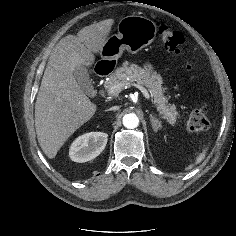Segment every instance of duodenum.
Here are the masks:
<instances>
[{
	"label": "duodenum",
	"instance_id": "1",
	"mask_svg": "<svg viewBox=\"0 0 236 236\" xmlns=\"http://www.w3.org/2000/svg\"><path fill=\"white\" fill-rule=\"evenodd\" d=\"M111 71V67L107 66V65H100L98 66V72L101 75H107L109 74Z\"/></svg>",
	"mask_w": 236,
	"mask_h": 236
}]
</instances>
